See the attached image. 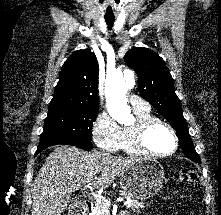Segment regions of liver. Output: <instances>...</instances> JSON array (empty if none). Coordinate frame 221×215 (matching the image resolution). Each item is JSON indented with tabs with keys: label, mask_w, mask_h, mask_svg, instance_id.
I'll return each mask as SVG.
<instances>
[{
	"label": "liver",
	"mask_w": 221,
	"mask_h": 215,
	"mask_svg": "<svg viewBox=\"0 0 221 215\" xmlns=\"http://www.w3.org/2000/svg\"><path fill=\"white\" fill-rule=\"evenodd\" d=\"M137 158H123L61 145L46 158L32 186V215H61L83 185L106 189Z\"/></svg>",
	"instance_id": "liver-1"
}]
</instances>
